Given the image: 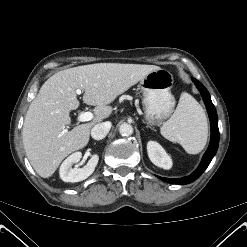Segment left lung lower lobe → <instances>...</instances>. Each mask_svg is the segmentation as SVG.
<instances>
[{
    "mask_svg": "<svg viewBox=\"0 0 247 247\" xmlns=\"http://www.w3.org/2000/svg\"><path fill=\"white\" fill-rule=\"evenodd\" d=\"M192 80L197 86V88L199 89L203 97L204 103L206 105V108H207V112H208L210 124H211V140H210L209 147L207 151L205 152L198 168L191 175L187 177H183V178L170 179V178L160 177L161 180L168 182V183L189 184L195 181L208 167V165L210 164L211 160L213 159L218 149L219 129H218V118H217L216 109L211 101V98H210V95L207 89L195 78H192Z\"/></svg>",
    "mask_w": 247,
    "mask_h": 247,
    "instance_id": "obj_1",
    "label": "left lung lower lobe"
}]
</instances>
